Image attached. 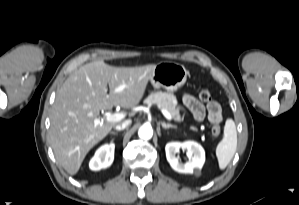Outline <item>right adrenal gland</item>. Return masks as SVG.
I'll use <instances>...</instances> for the list:
<instances>
[{
  "label": "right adrenal gland",
  "instance_id": "obj_1",
  "mask_svg": "<svg viewBox=\"0 0 299 205\" xmlns=\"http://www.w3.org/2000/svg\"><path fill=\"white\" fill-rule=\"evenodd\" d=\"M118 132H115V131H112V132H110V134H112V135H116Z\"/></svg>",
  "mask_w": 299,
  "mask_h": 205
}]
</instances>
